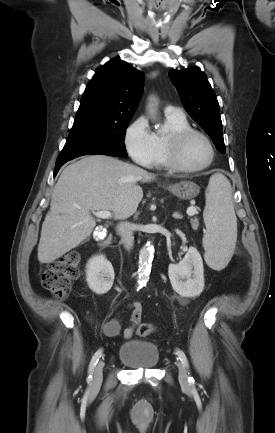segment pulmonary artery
I'll return each instance as SVG.
<instances>
[{"mask_svg": "<svg viewBox=\"0 0 275 433\" xmlns=\"http://www.w3.org/2000/svg\"><path fill=\"white\" fill-rule=\"evenodd\" d=\"M164 112H165V114H168V115H173V116H178V117L184 116L183 111L180 108L175 107V106H171V105L167 106L165 108Z\"/></svg>", "mask_w": 275, "mask_h": 433, "instance_id": "e3ab8cb5", "label": "pulmonary artery"}]
</instances>
